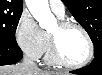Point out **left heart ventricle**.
Segmentation results:
<instances>
[{
    "label": "left heart ventricle",
    "instance_id": "b2bd125f",
    "mask_svg": "<svg viewBox=\"0 0 102 75\" xmlns=\"http://www.w3.org/2000/svg\"><path fill=\"white\" fill-rule=\"evenodd\" d=\"M56 30L57 24L50 32H55ZM58 41L61 54L68 62H78L87 56V40L79 29L71 28L60 34Z\"/></svg>",
    "mask_w": 102,
    "mask_h": 75
}]
</instances>
